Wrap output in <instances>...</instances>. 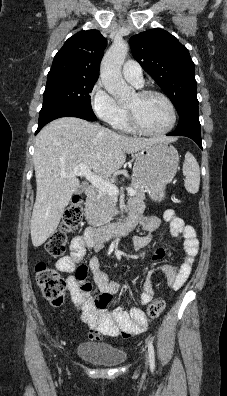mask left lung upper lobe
<instances>
[{
  "label": "left lung upper lobe",
  "instance_id": "left-lung-upper-lobe-1",
  "mask_svg": "<svg viewBox=\"0 0 227 396\" xmlns=\"http://www.w3.org/2000/svg\"><path fill=\"white\" fill-rule=\"evenodd\" d=\"M129 41L134 58L169 97L179 115L198 106L194 63L176 37L154 28Z\"/></svg>",
  "mask_w": 227,
  "mask_h": 396
}]
</instances>
